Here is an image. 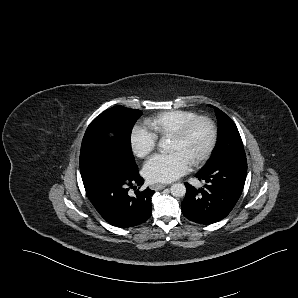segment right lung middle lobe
Masks as SVG:
<instances>
[{"label":"right lung middle lobe","mask_w":298,"mask_h":298,"mask_svg":"<svg viewBox=\"0 0 298 298\" xmlns=\"http://www.w3.org/2000/svg\"><path fill=\"white\" fill-rule=\"evenodd\" d=\"M141 111L115 106L98 115L88 126L81 145L80 172L83 182L123 176L138 167L130 136ZM113 132V138L108 133Z\"/></svg>","instance_id":"obj_1"}]
</instances>
